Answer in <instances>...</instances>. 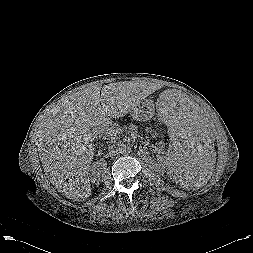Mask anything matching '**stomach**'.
Returning <instances> with one entry per match:
<instances>
[{"label":"stomach","instance_id":"stomach-1","mask_svg":"<svg viewBox=\"0 0 253 253\" xmlns=\"http://www.w3.org/2000/svg\"><path fill=\"white\" fill-rule=\"evenodd\" d=\"M131 113L133 119L137 121L150 120L155 114L154 105L148 101L141 102L132 110Z\"/></svg>","mask_w":253,"mask_h":253}]
</instances>
